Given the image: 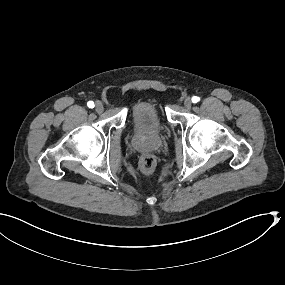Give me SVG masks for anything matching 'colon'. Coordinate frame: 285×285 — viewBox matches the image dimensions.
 I'll return each instance as SVG.
<instances>
[{"mask_svg": "<svg viewBox=\"0 0 285 285\" xmlns=\"http://www.w3.org/2000/svg\"><path fill=\"white\" fill-rule=\"evenodd\" d=\"M156 166V159L151 154H144L139 161L140 170L146 174L150 175Z\"/></svg>", "mask_w": 285, "mask_h": 285, "instance_id": "1", "label": "colon"}]
</instances>
